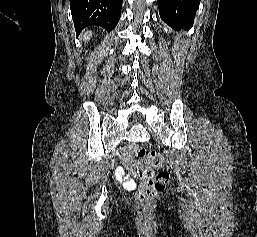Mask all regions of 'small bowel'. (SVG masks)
<instances>
[{"instance_id":"small-bowel-1","label":"small bowel","mask_w":257,"mask_h":237,"mask_svg":"<svg viewBox=\"0 0 257 237\" xmlns=\"http://www.w3.org/2000/svg\"><path fill=\"white\" fill-rule=\"evenodd\" d=\"M128 160L129 158H126V157L123 158L124 162H127ZM115 174H116V177L120 180L125 181L127 179V177L125 176L124 170L122 168H117Z\"/></svg>"}]
</instances>
